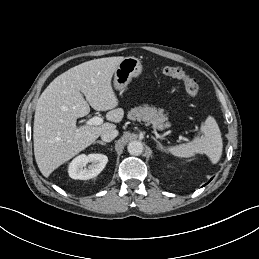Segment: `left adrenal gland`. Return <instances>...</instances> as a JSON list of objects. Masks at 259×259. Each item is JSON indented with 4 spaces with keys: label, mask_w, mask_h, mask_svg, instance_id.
<instances>
[{
    "label": "left adrenal gland",
    "mask_w": 259,
    "mask_h": 259,
    "mask_svg": "<svg viewBox=\"0 0 259 259\" xmlns=\"http://www.w3.org/2000/svg\"><path fill=\"white\" fill-rule=\"evenodd\" d=\"M151 138L157 143V146H158L159 149L164 150L162 144L157 140L156 137L151 136Z\"/></svg>",
    "instance_id": "1"
}]
</instances>
